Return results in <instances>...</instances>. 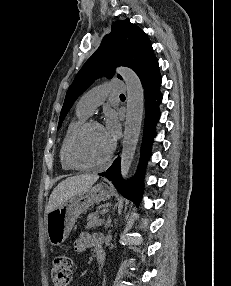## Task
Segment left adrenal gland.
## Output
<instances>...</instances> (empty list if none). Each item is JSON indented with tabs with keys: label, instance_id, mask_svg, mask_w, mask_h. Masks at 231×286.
I'll return each instance as SVG.
<instances>
[{
	"label": "left adrenal gland",
	"instance_id": "a2214340",
	"mask_svg": "<svg viewBox=\"0 0 231 286\" xmlns=\"http://www.w3.org/2000/svg\"><path fill=\"white\" fill-rule=\"evenodd\" d=\"M110 225H111V217L109 216L108 220H107V222L105 224V227L108 228V227H110Z\"/></svg>",
	"mask_w": 231,
	"mask_h": 286
}]
</instances>
